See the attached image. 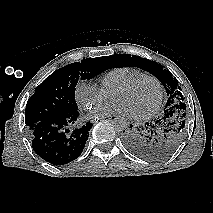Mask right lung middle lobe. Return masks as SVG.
I'll use <instances>...</instances> for the list:
<instances>
[{"instance_id":"obj_1","label":"right lung middle lobe","mask_w":213,"mask_h":213,"mask_svg":"<svg viewBox=\"0 0 213 213\" xmlns=\"http://www.w3.org/2000/svg\"><path fill=\"white\" fill-rule=\"evenodd\" d=\"M107 57L87 58L59 68L36 87L26 105L29 129L41 121L78 111L75 87L79 79H91L109 69Z\"/></svg>"}]
</instances>
